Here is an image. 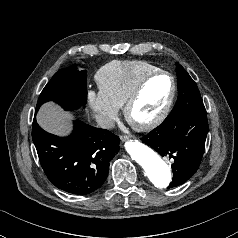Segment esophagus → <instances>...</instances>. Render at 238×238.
I'll use <instances>...</instances> for the list:
<instances>
[{
	"label": "esophagus",
	"mask_w": 238,
	"mask_h": 238,
	"mask_svg": "<svg viewBox=\"0 0 238 238\" xmlns=\"http://www.w3.org/2000/svg\"><path fill=\"white\" fill-rule=\"evenodd\" d=\"M127 139H128V137H127L126 135H121V136H120V140H121L122 142L126 141Z\"/></svg>",
	"instance_id": "1"
}]
</instances>
